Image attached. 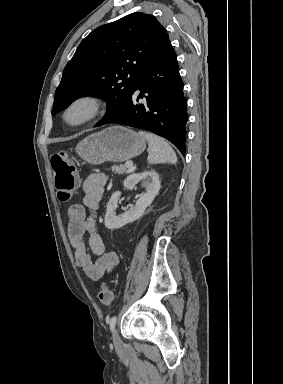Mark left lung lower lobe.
I'll list each match as a JSON object with an SVG mask.
<instances>
[{
	"label": "left lung lower lobe",
	"instance_id": "left-lung-lower-lobe-1",
	"mask_svg": "<svg viewBox=\"0 0 283 384\" xmlns=\"http://www.w3.org/2000/svg\"><path fill=\"white\" fill-rule=\"evenodd\" d=\"M140 98H145L146 102L138 103ZM110 123L153 132L168 139L185 154L187 101L170 43L138 79L126 107L96 126Z\"/></svg>",
	"mask_w": 283,
	"mask_h": 384
}]
</instances>
